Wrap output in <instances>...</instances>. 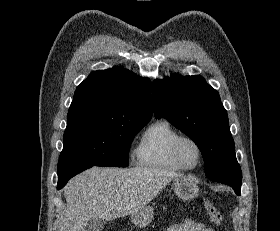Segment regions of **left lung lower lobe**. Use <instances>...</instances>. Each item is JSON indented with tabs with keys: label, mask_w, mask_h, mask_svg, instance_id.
I'll use <instances>...</instances> for the list:
<instances>
[{
	"label": "left lung lower lobe",
	"mask_w": 280,
	"mask_h": 231,
	"mask_svg": "<svg viewBox=\"0 0 280 231\" xmlns=\"http://www.w3.org/2000/svg\"><path fill=\"white\" fill-rule=\"evenodd\" d=\"M212 181L224 183L230 185L237 195H240L241 183H242V172L240 166H236L228 169L218 175L209 178Z\"/></svg>",
	"instance_id": "0a47b994"
}]
</instances>
